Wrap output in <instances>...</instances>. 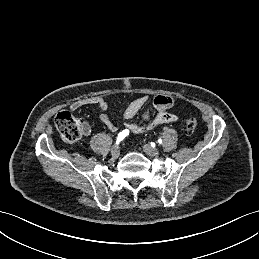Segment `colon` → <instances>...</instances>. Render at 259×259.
I'll return each mask as SVG.
<instances>
[{
  "label": "colon",
  "mask_w": 259,
  "mask_h": 259,
  "mask_svg": "<svg viewBox=\"0 0 259 259\" xmlns=\"http://www.w3.org/2000/svg\"><path fill=\"white\" fill-rule=\"evenodd\" d=\"M55 127L61 138L67 143L78 141L82 136L81 123L67 111L57 114L54 120ZM197 127V120L189 117L185 120V129L187 133H193Z\"/></svg>",
  "instance_id": "1"
}]
</instances>
